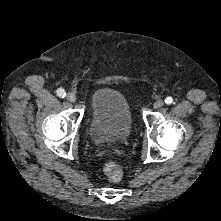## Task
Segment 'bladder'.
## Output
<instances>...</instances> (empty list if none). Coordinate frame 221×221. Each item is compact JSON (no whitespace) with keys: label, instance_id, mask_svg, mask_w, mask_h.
<instances>
[{"label":"bladder","instance_id":"obj_1","mask_svg":"<svg viewBox=\"0 0 221 221\" xmlns=\"http://www.w3.org/2000/svg\"><path fill=\"white\" fill-rule=\"evenodd\" d=\"M132 124L129 104L122 93L104 88L94 94L88 125L89 136L94 142L125 141Z\"/></svg>","mask_w":221,"mask_h":221}]
</instances>
